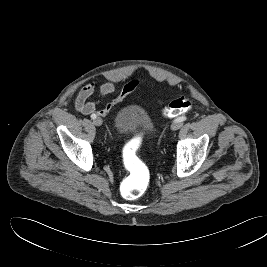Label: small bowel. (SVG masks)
Here are the masks:
<instances>
[{
  "label": "small bowel",
  "instance_id": "c3829d8e",
  "mask_svg": "<svg viewBox=\"0 0 267 267\" xmlns=\"http://www.w3.org/2000/svg\"><path fill=\"white\" fill-rule=\"evenodd\" d=\"M137 83V80L127 82L117 96L109 102L103 104L104 99L115 92V83L107 81L101 84L98 90L100 99L97 101H91L90 98L94 94L96 86L93 82H87L77 94L75 109L83 115H92V113H97L99 116L105 117L114 106L122 102L128 94L131 93V91L137 86ZM101 104L103 105L99 108Z\"/></svg>",
  "mask_w": 267,
  "mask_h": 267
}]
</instances>
